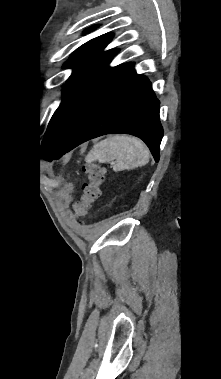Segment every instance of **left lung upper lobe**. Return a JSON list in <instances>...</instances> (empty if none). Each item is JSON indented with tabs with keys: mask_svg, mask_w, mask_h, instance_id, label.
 I'll list each match as a JSON object with an SVG mask.
<instances>
[{
	"mask_svg": "<svg viewBox=\"0 0 221 379\" xmlns=\"http://www.w3.org/2000/svg\"><path fill=\"white\" fill-rule=\"evenodd\" d=\"M112 37L104 34L88 41L65 63L66 68H73V73L63 90L62 102L48 124L41 149L44 159L48 160L63 144L85 113L130 66L129 63L108 66L117 51L103 49Z\"/></svg>",
	"mask_w": 221,
	"mask_h": 379,
	"instance_id": "left-lung-upper-lobe-1",
	"label": "left lung upper lobe"
}]
</instances>
